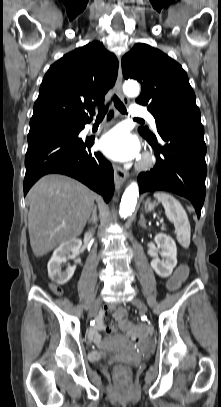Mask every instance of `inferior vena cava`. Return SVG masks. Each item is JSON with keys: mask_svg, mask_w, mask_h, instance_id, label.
<instances>
[{"mask_svg": "<svg viewBox=\"0 0 221 407\" xmlns=\"http://www.w3.org/2000/svg\"><path fill=\"white\" fill-rule=\"evenodd\" d=\"M88 232H89V233H93V232H94V228L89 229Z\"/></svg>", "mask_w": 221, "mask_h": 407, "instance_id": "1", "label": "inferior vena cava"}]
</instances>
